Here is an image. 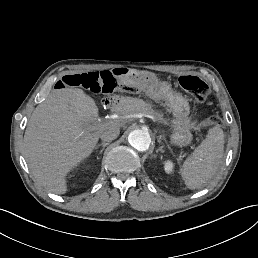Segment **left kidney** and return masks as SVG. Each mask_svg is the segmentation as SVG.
<instances>
[{
	"label": "left kidney",
	"mask_w": 258,
	"mask_h": 258,
	"mask_svg": "<svg viewBox=\"0 0 258 258\" xmlns=\"http://www.w3.org/2000/svg\"><path fill=\"white\" fill-rule=\"evenodd\" d=\"M163 168H164V172L169 175L172 176L174 174V168H175V163L173 160L171 159H166L162 162Z\"/></svg>",
	"instance_id": "left-kidney-1"
}]
</instances>
